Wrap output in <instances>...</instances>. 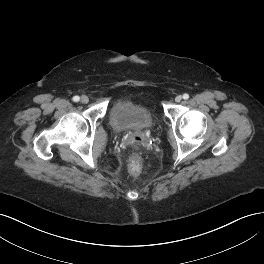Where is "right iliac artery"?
Listing matches in <instances>:
<instances>
[{
  "mask_svg": "<svg viewBox=\"0 0 264 264\" xmlns=\"http://www.w3.org/2000/svg\"><path fill=\"white\" fill-rule=\"evenodd\" d=\"M79 100H80V97L79 96H74L73 97V101L78 102Z\"/></svg>",
  "mask_w": 264,
  "mask_h": 264,
  "instance_id": "1",
  "label": "right iliac artery"
}]
</instances>
